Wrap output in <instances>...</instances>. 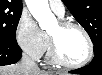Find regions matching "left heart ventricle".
Instances as JSON below:
<instances>
[{"label":"left heart ventricle","instance_id":"b2bd125f","mask_svg":"<svg viewBox=\"0 0 102 75\" xmlns=\"http://www.w3.org/2000/svg\"><path fill=\"white\" fill-rule=\"evenodd\" d=\"M49 33L56 37L61 56L68 62H78L87 55L88 46L84 34L77 28L60 31L55 24Z\"/></svg>","mask_w":102,"mask_h":75}]
</instances>
